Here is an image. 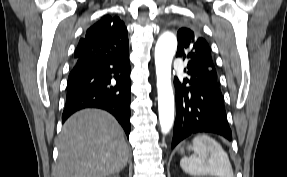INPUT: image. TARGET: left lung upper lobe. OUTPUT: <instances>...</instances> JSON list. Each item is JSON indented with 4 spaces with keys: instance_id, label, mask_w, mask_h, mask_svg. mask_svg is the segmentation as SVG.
<instances>
[{
    "instance_id": "left-lung-upper-lobe-1",
    "label": "left lung upper lobe",
    "mask_w": 287,
    "mask_h": 177,
    "mask_svg": "<svg viewBox=\"0 0 287 177\" xmlns=\"http://www.w3.org/2000/svg\"><path fill=\"white\" fill-rule=\"evenodd\" d=\"M178 49L176 56L187 59V68L202 78L207 84H218L217 73L206 40L189 28L177 32Z\"/></svg>"
}]
</instances>
